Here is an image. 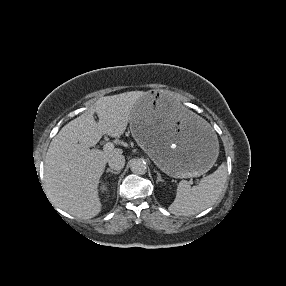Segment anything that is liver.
<instances>
[{
	"label": "liver",
	"mask_w": 286,
	"mask_h": 286,
	"mask_svg": "<svg viewBox=\"0 0 286 286\" xmlns=\"http://www.w3.org/2000/svg\"><path fill=\"white\" fill-rule=\"evenodd\" d=\"M144 94L132 91L101 97L94 109L67 123L52 139L44 160V180L46 192L57 207L82 219L100 213L101 175L108 160L122 150L104 152L90 147L105 134L114 138L123 135L135 104Z\"/></svg>",
	"instance_id": "obj_1"
}]
</instances>
